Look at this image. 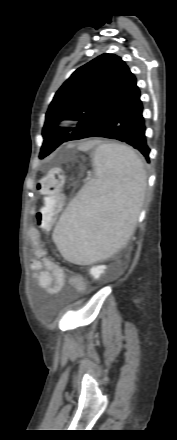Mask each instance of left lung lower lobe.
I'll list each match as a JSON object with an SVG mask.
<instances>
[{"mask_svg":"<svg viewBox=\"0 0 177 440\" xmlns=\"http://www.w3.org/2000/svg\"><path fill=\"white\" fill-rule=\"evenodd\" d=\"M142 111L140 90L137 89L122 107L84 138L104 137L123 141L141 152L149 163L150 149L146 143Z\"/></svg>","mask_w":177,"mask_h":440,"instance_id":"0a47b994","label":"left lung lower lobe"}]
</instances>
